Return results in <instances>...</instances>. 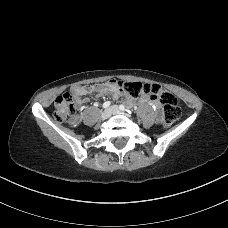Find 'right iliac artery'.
<instances>
[{
  "instance_id": "82829eb1",
  "label": "right iliac artery",
  "mask_w": 228,
  "mask_h": 228,
  "mask_svg": "<svg viewBox=\"0 0 228 228\" xmlns=\"http://www.w3.org/2000/svg\"><path fill=\"white\" fill-rule=\"evenodd\" d=\"M111 105V102L110 101H106L104 104H103V108H108L109 106Z\"/></svg>"
}]
</instances>
